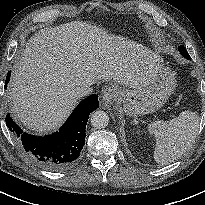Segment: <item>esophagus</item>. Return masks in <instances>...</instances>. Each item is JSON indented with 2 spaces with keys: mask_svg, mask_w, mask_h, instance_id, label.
<instances>
[{
  "mask_svg": "<svg viewBox=\"0 0 205 205\" xmlns=\"http://www.w3.org/2000/svg\"><path fill=\"white\" fill-rule=\"evenodd\" d=\"M117 98V92L114 88L105 87L101 91V100L104 106L112 104Z\"/></svg>",
  "mask_w": 205,
  "mask_h": 205,
  "instance_id": "esophagus-1",
  "label": "esophagus"
}]
</instances>
